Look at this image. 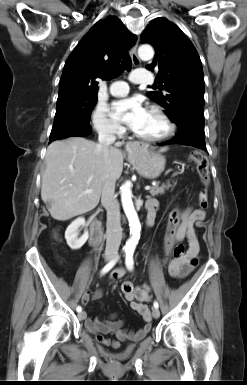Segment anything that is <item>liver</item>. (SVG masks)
Instances as JSON below:
<instances>
[{"label": "liver", "instance_id": "obj_1", "mask_svg": "<svg viewBox=\"0 0 247 385\" xmlns=\"http://www.w3.org/2000/svg\"><path fill=\"white\" fill-rule=\"evenodd\" d=\"M123 154L79 136L52 142L46 152L41 198L51 216L66 221L92 211L107 179L120 178ZM92 190L85 193V190Z\"/></svg>", "mask_w": 247, "mask_h": 385}]
</instances>
